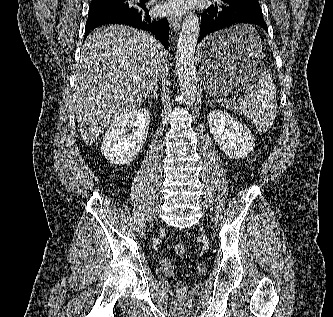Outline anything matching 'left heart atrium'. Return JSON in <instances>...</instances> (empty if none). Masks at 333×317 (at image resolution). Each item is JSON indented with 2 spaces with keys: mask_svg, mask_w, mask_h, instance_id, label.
<instances>
[{
  "mask_svg": "<svg viewBox=\"0 0 333 317\" xmlns=\"http://www.w3.org/2000/svg\"><path fill=\"white\" fill-rule=\"evenodd\" d=\"M186 9V0H169L163 3L160 10L164 14H179Z\"/></svg>",
  "mask_w": 333,
  "mask_h": 317,
  "instance_id": "left-heart-atrium-1",
  "label": "left heart atrium"
}]
</instances>
